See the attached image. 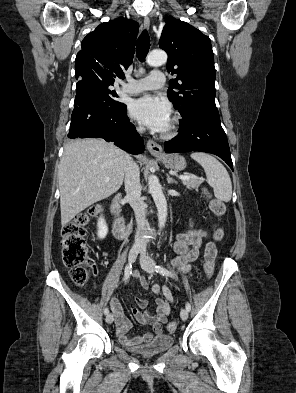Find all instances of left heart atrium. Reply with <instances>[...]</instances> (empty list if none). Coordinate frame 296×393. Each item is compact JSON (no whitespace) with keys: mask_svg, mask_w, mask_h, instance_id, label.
Instances as JSON below:
<instances>
[{"mask_svg":"<svg viewBox=\"0 0 296 393\" xmlns=\"http://www.w3.org/2000/svg\"><path fill=\"white\" fill-rule=\"evenodd\" d=\"M130 114L153 131L163 132L170 125V105L153 95L146 94L133 100Z\"/></svg>","mask_w":296,"mask_h":393,"instance_id":"left-heart-atrium-1","label":"left heart atrium"}]
</instances>
